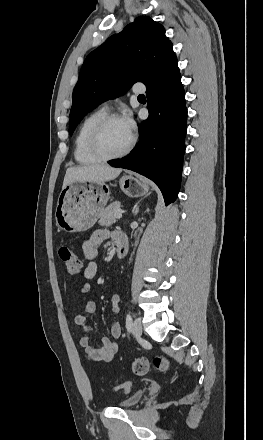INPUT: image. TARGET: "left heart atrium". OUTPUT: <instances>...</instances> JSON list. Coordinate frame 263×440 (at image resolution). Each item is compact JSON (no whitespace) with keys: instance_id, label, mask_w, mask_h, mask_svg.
I'll list each match as a JSON object with an SVG mask.
<instances>
[{"instance_id":"39dd6f15","label":"left heart atrium","mask_w":263,"mask_h":440,"mask_svg":"<svg viewBox=\"0 0 263 440\" xmlns=\"http://www.w3.org/2000/svg\"><path fill=\"white\" fill-rule=\"evenodd\" d=\"M124 123H125L126 127L129 129V131H132L133 123H132L131 119L128 117H125Z\"/></svg>"}]
</instances>
